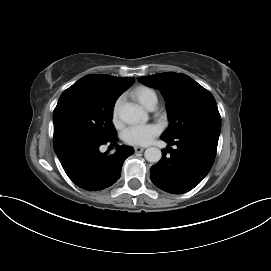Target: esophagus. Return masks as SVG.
<instances>
[{
    "instance_id": "1",
    "label": "esophagus",
    "mask_w": 271,
    "mask_h": 271,
    "mask_svg": "<svg viewBox=\"0 0 271 271\" xmlns=\"http://www.w3.org/2000/svg\"><path fill=\"white\" fill-rule=\"evenodd\" d=\"M134 150H135L136 153H141V152H143L145 150V148L140 147V146H136V147H134Z\"/></svg>"
}]
</instances>
